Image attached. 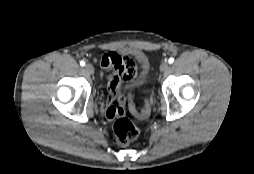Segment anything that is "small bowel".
Listing matches in <instances>:
<instances>
[{
    "mask_svg": "<svg viewBox=\"0 0 254 174\" xmlns=\"http://www.w3.org/2000/svg\"><path fill=\"white\" fill-rule=\"evenodd\" d=\"M102 75L108 80V94L105 97L106 110L105 115L109 119L115 118L113 110L116 107H110V103L120 96V89L124 82L133 80L140 68V62L130 55H120L109 53L103 56L101 60Z\"/></svg>",
    "mask_w": 254,
    "mask_h": 174,
    "instance_id": "1",
    "label": "small bowel"
}]
</instances>
